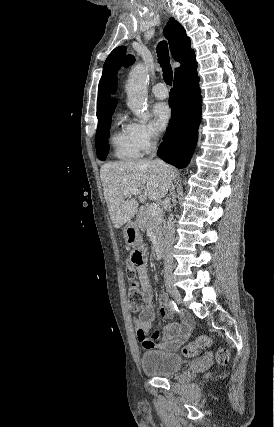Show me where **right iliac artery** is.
Returning a JSON list of instances; mask_svg holds the SVG:
<instances>
[{
  "mask_svg": "<svg viewBox=\"0 0 274 427\" xmlns=\"http://www.w3.org/2000/svg\"><path fill=\"white\" fill-rule=\"evenodd\" d=\"M169 306H170V309L173 313H175L178 310L177 305L173 300L169 301Z\"/></svg>",
  "mask_w": 274,
  "mask_h": 427,
  "instance_id": "1",
  "label": "right iliac artery"
}]
</instances>
